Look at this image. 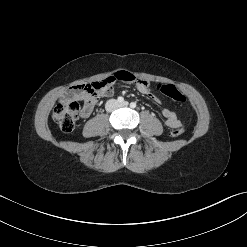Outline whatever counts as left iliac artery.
Listing matches in <instances>:
<instances>
[{"instance_id": "44dca946", "label": "left iliac artery", "mask_w": 247, "mask_h": 247, "mask_svg": "<svg viewBox=\"0 0 247 247\" xmlns=\"http://www.w3.org/2000/svg\"><path fill=\"white\" fill-rule=\"evenodd\" d=\"M130 107H131V108H135V107H136V103H135V102H131V103H130Z\"/></svg>"}]
</instances>
